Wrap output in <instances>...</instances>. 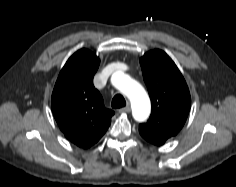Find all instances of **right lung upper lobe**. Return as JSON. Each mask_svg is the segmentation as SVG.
<instances>
[{
	"label": "right lung upper lobe",
	"instance_id": "obj_1",
	"mask_svg": "<svg viewBox=\"0 0 236 187\" xmlns=\"http://www.w3.org/2000/svg\"><path fill=\"white\" fill-rule=\"evenodd\" d=\"M100 60L87 49L74 53L56 81L51 106L65 137L87 149L98 142L111 123L114 112L104 107L101 94L93 86Z\"/></svg>",
	"mask_w": 236,
	"mask_h": 187
}]
</instances>
